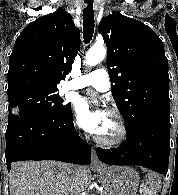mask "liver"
<instances>
[{"label": "liver", "instance_id": "6515ba94", "mask_svg": "<svg viewBox=\"0 0 178 195\" xmlns=\"http://www.w3.org/2000/svg\"><path fill=\"white\" fill-rule=\"evenodd\" d=\"M72 170V165L55 161L13 163L10 195H81L90 185L92 174L86 166H79L77 177Z\"/></svg>", "mask_w": 178, "mask_h": 195}]
</instances>
